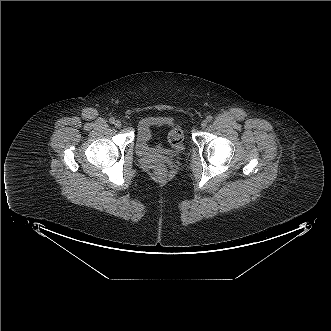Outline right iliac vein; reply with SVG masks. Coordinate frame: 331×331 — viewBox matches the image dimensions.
I'll use <instances>...</instances> for the list:
<instances>
[{
    "label": "right iliac vein",
    "mask_w": 331,
    "mask_h": 331,
    "mask_svg": "<svg viewBox=\"0 0 331 331\" xmlns=\"http://www.w3.org/2000/svg\"><path fill=\"white\" fill-rule=\"evenodd\" d=\"M114 126H115L116 128H120V127L122 126L121 121H120V120H116V121L114 122Z\"/></svg>",
    "instance_id": "63e3f726"
}]
</instances>
